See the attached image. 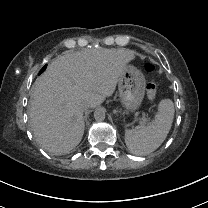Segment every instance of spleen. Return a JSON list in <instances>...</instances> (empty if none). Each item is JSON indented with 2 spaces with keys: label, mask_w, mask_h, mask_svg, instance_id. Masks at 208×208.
I'll use <instances>...</instances> for the list:
<instances>
[{
  "label": "spleen",
  "mask_w": 208,
  "mask_h": 208,
  "mask_svg": "<svg viewBox=\"0 0 208 208\" xmlns=\"http://www.w3.org/2000/svg\"><path fill=\"white\" fill-rule=\"evenodd\" d=\"M174 118V104L166 98L159 102L158 112L149 126L126 130L125 144L132 154L147 155L155 151L167 137Z\"/></svg>",
  "instance_id": "3e777b00"
}]
</instances>
